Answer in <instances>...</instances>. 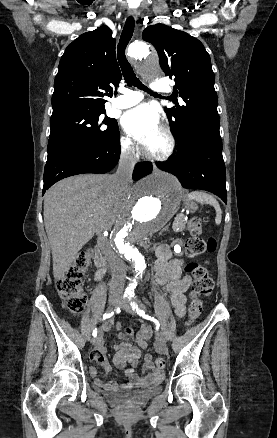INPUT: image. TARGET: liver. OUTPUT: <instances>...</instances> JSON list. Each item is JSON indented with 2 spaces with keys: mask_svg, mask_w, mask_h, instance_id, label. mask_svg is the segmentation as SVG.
Here are the masks:
<instances>
[{
  "mask_svg": "<svg viewBox=\"0 0 277 438\" xmlns=\"http://www.w3.org/2000/svg\"><path fill=\"white\" fill-rule=\"evenodd\" d=\"M125 192L110 174L71 176L46 192L43 216L55 280L64 278L96 232L110 230L121 218Z\"/></svg>",
  "mask_w": 277,
  "mask_h": 438,
  "instance_id": "1",
  "label": "liver"
}]
</instances>
